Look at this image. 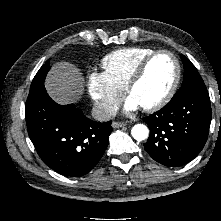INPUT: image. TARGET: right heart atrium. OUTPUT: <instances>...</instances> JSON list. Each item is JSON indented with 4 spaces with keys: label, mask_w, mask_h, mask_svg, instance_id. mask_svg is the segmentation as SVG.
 Instances as JSON below:
<instances>
[{
    "label": "right heart atrium",
    "mask_w": 221,
    "mask_h": 221,
    "mask_svg": "<svg viewBox=\"0 0 221 221\" xmlns=\"http://www.w3.org/2000/svg\"><path fill=\"white\" fill-rule=\"evenodd\" d=\"M87 88L97 113L103 118L114 113L124 93L104 72L89 73Z\"/></svg>",
    "instance_id": "obj_1"
}]
</instances>
